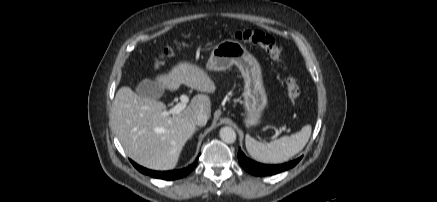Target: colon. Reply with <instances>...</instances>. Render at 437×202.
<instances>
[{"instance_id": "colon-1", "label": "colon", "mask_w": 437, "mask_h": 202, "mask_svg": "<svg viewBox=\"0 0 437 202\" xmlns=\"http://www.w3.org/2000/svg\"><path fill=\"white\" fill-rule=\"evenodd\" d=\"M234 37L241 42L260 46L273 60L282 64L284 69H287L284 64V50L270 34L260 30L246 29L236 32ZM182 46L183 44H174L165 47L160 56L156 59L154 66L156 68L161 67L164 59L174 55ZM286 89L288 99L290 102L295 103L300 96V87L295 76L289 75L286 78Z\"/></svg>"}]
</instances>
